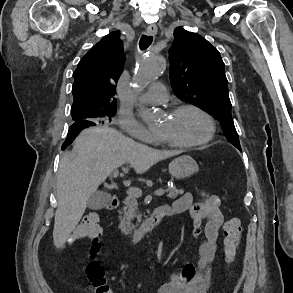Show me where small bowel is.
Here are the masks:
<instances>
[{
	"mask_svg": "<svg viewBox=\"0 0 293 293\" xmlns=\"http://www.w3.org/2000/svg\"><path fill=\"white\" fill-rule=\"evenodd\" d=\"M199 195L201 200L194 203L193 194L186 192L171 205L178 213L189 212L194 238L204 234L199 246V259L196 263H186L181 271L171 274L159 293H208L212 286L217 239L225 221L219 197L203 191Z\"/></svg>",
	"mask_w": 293,
	"mask_h": 293,
	"instance_id": "obj_1",
	"label": "small bowel"
}]
</instances>
